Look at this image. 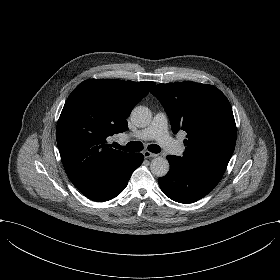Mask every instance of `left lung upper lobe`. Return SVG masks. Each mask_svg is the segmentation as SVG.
Here are the masks:
<instances>
[{
  "label": "left lung upper lobe",
  "instance_id": "left-lung-upper-lobe-1",
  "mask_svg": "<svg viewBox=\"0 0 280 280\" xmlns=\"http://www.w3.org/2000/svg\"><path fill=\"white\" fill-rule=\"evenodd\" d=\"M151 93L162 103L172 131L188 140L183 159L226 169L236 143L231 105L215 86L191 81L156 85Z\"/></svg>",
  "mask_w": 280,
  "mask_h": 280
}]
</instances>
